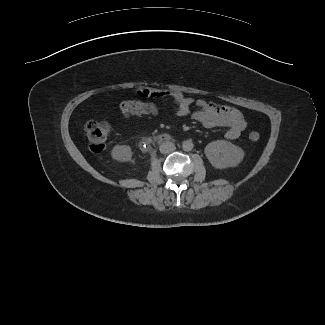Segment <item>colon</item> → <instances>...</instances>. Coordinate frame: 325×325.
Listing matches in <instances>:
<instances>
[{
    "label": "colon",
    "mask_w": 325,
    "mask_h": 325,
    "mask_svg": "<svg viewBox=\"0 0 325 325\" xmlns=\"http://www.w3.org/2000/svg\"><path fill=\"white\" fill-rule=\"evenodd\" d=\"M120 112L125 116H157L165 112V108L156 102L130 100L120 105ZM110 132L111 125L107 121H89L83 129L90 150L96 153L101 152L105 148ZM249 139L252 142H257L260 139V135L258 132H251L249 134Z\"/></svg>",
    "instance_id": "colon-1"
}]
</instances>
